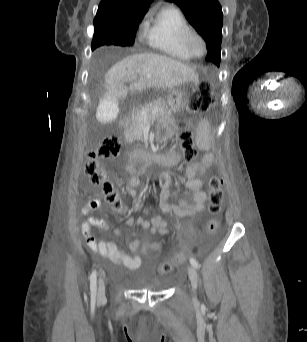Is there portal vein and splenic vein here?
I'll use <instances>...</instances> for the list:
<instances>
[{
  "label": "portal vein and splenic vein",
  "instance_id": "18ae733b",
  "mask_svg": "<svg viewBox=\"0 0 307 342\" xmlns=\"http://www.w3.org/2000/svg\"><path fill=\"white\" fill-rule=\"evenodd\" d=\"M155 112H152V114H154ZM145 117H148V114H145Z\"/></svg>",
  "mask_w": 307,
  "mask_h": 342
}]
</instances>
